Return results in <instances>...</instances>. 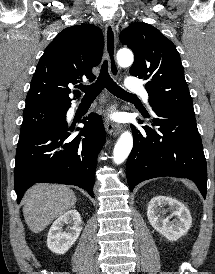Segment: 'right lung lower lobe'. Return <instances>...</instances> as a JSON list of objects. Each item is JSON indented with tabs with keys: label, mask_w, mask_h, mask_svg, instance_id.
Wrapping results in <instances>:
<instances>
[{
	"label": "right lung lower lobe",
	"mask_w": 215,
	"mask_h": 274,
	"mask_svg": "<svg viewBox=\"0 0 215 274\" xmlns=\"http://www.w3.org/2000/svg\"><path fill=\"white\" fill-rule=\"evenodd\" d=\"M66 112L60 121L18 142L14 170L18 203L29 187L42 182L76 185L94 197L96 160L105 141L102 119L89 114L82 120L85 127L75 136Z\"/></svg>",
	"instance_id": "right-lung-lower-lobe-1"
}]
</instances>
